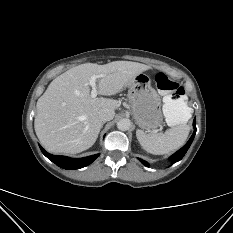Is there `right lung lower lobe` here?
Returning a JSON list of instances; mask_svg holds the SVG:
<instances>
[{"label": "right lung lower lobe", "instance_id": "98d812e1", "mask_svg": "<svg viewBox=\"0 0 233 233\" xmlns=\"http://www.w3.org/2000/svg\"><path fill=\"white\" fill-rule=\"evenodd\" d=\"M40 149L42 153L48 159H50L56 165L64 169H79V168L85 167L91 164L99 156V154H95V155L84 157V158L74 159V158H69L66 156L52 155L46 152L41 146H40Z\"/></svg>", "mask_w": 233, "mask_h": 233}]
</instances>
